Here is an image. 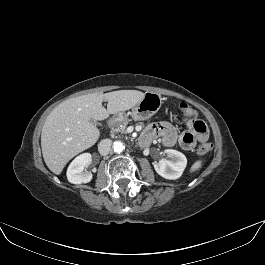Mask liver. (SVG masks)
<instances>
[{
	"instance_id": "6515ba94",
	"label": "liver",
	"mask_w": 265,
	"mask_h": 265,
	"mask_svg": "<svg viewBox=\"0 0 265 265\" xmlns=\"http://www.w3.org/2000/svg\"><path fill=\"white\" fill-rule=\"evenodd\" d=\"M145 93L118 90L92 93L68 99L48 115L41 133V148L47 167L59 175L67 162L92 147L99 139V130L90 122L105 120L109 114L127 111L138 104ZM107 101V109L102 102Z\"/></svg>"
}]
</instances>
